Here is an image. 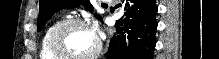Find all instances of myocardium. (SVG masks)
Returning <instances> with one entry per match:
<instances>
[{
  "label": "myocardium",
  "instance_id": "obj_1",
  "mask_svg": "<svg viewBox=\"0 0 219 59\" xmlns=\"http://www.w3.org/2000/svg\"><path fill=\"white\" fill-rule=\"evenodd\" d=\"M78 25L87 27V24L79 18H68L59 22L53 29L50 36V50L59 59H94L101 51V41L96 37L95 48L88 54L85 55H71L67 53L62 46V36L64 32L71 26Z\"/></svg>",
  "mask_w": 219,
  "mask_h": 59
}]
</instances>
